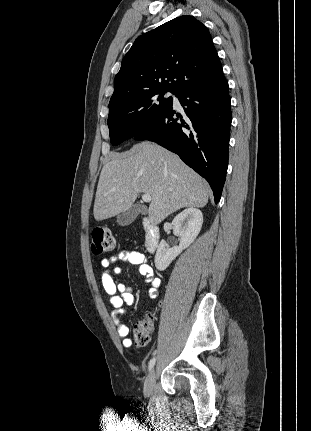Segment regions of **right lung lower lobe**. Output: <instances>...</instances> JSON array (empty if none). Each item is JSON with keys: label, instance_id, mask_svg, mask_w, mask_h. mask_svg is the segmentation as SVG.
Here are the masks:
<instances>
[{"label": "right lung lower lobe", "instance_id": "98d812e1", "mask_svg": "<svg viewBox=\"0 0 311 431\" xmlns=\"http://www.w3.org/2000/svg\"><path fill=\"white\" fill-rule=\"evenodd\" d=\"M175 95L184 109L183 116L176 114L172 103L134 139L156 142L178 154L209 182L218 203L228 167L232 120L223 70L183 87Z\"/></svg>", "mask_w": 311, "mask_h": 431}]
</instances>
